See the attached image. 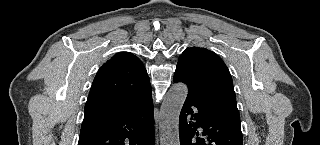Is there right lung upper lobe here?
<instances>
[{"instance_id": "cb5924a9", "label": "right lung upper lobe", "mask_w": 320, "mask_h": 145, "mask_svg": "<svg viewBox=\"0 0 320 145\" xmlns=\"http://www.w3.org/2000/svg\"><path fill=\"white\" fill-rule=\"evenodd\" d=\"M151 93L143 63L130 52L115 54L99 69L85 105L83 123L123 114Z\"/></svg>"}]
</instances>
